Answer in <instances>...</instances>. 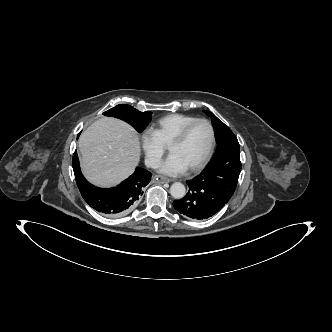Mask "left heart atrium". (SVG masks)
Instances as JSON below:
<instances>
[{"instance_id":"39dd6f15","label":"left heart atrium","mask_w":332,"mask_h":332,"mask_svg":"<svg viewBox=\"0 0 332 332\" xmlns=\"http://www.w3.org/2000/svg\"><path fill=\"white\" fill-rule=\"evenodd\" d=\"M188 167L175 154H170L160 165L159 172L169 176H177L184 173Z\"/></svg>"}]
</instances>
